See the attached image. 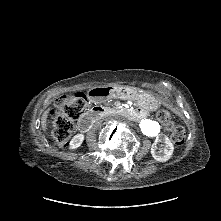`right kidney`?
I'll list each match as a JSON object with an SVG mask.
<instances>
[{
  "label": "right kidney",
  "instance_id": "1",
  "mask_svg": "<svg viewBox=\"0 0 221 221\" xmlns=\"http://www.w3.org/2000/svg\"><path fill=\"white\" fill-rule=\"evenodd\" d=\"M84 141V134L75 135L70 142V149H77Z\"/></svg>",
  "mask_w": 221,
  "mask_h": 221
}]
</instances>
